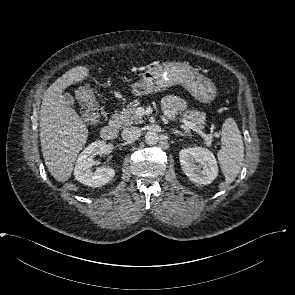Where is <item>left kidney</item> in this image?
Listing matches in <instances>:
<instances>
[{"mask_svg": "<svg viewBox=\"0 0 295 295\" xmlns=\"http://www.w3.org/2000/svg\"><path fill=\"white\" fill-rule=\"evenodd\" d=\"M179 159L183 172L192 182L207 185L218 175L216 159L208 149L184 148L179 153Z\"/></svg>", "mask_w": 295, "mask_h": 295, "instance_id": "obj_1", "label": "left kidney"}]
</instances>
